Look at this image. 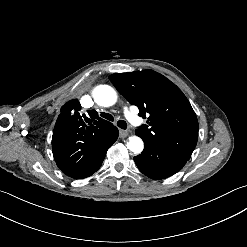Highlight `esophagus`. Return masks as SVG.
Masks as SVG:
<instances>
[{"label": "esophagus", "mask_w": 247, "mask_h": 247, "mask_svg": "<svg viewBox=\"0 0 247 247\" xmlns=\"http://www.w3.org/2000/svg\"><path fill=\"white\" fill-rule=\"evenodd\" d=\"M128 136L127 130H119V137L120 138H126Z\"/></svg>", "instance_id": "obj_1"}]
</instances>
